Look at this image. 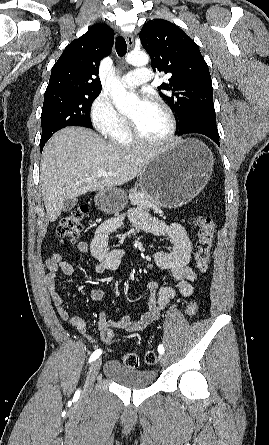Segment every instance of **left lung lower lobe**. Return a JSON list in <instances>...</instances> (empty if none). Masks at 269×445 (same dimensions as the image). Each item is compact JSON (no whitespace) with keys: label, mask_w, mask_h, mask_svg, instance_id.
<instances>
[{"label":"left lung lower lobe","mask_w":269,"mask_h":445,"mask_svg":"<svg viewBox=\"0 0 269 445\" xmlns=\"http://www.w3.org/2000/svg\"><path fill=\"white\" fill-rule=\"evenodd\" d=\"M188 133L203 134V135L211 138L218 146L220 145L216 120H213V119L197 120V121L189 124L183 130H180L178 135L180 136V135L188 134Z\"/></svg>","instance_id":"0a47b994"}]
</instances>
